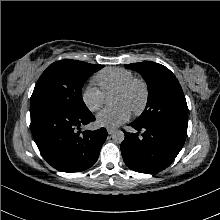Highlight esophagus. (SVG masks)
Masks as SVG:
<instances>
[{
	"mask_svg": "<svg viewBox=\"0 0 220 220\" xmlns=\"http://www.w3.org/2000/svg\"><path fill=\"white\" fill-rule=\"evenodd\" d=\"M107 132H108V134H112L113 132H115V129H113V128H108L107 129Z\"/></svg>",
	"mask_w": 220,
	"mask_h": 220,
	"instance_id": "obj_1",
	"label": "esophagus"
}]
</instances>
